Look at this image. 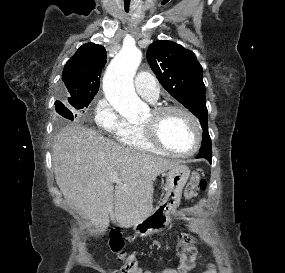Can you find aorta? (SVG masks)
<instances>
[{"label":"aorta","mask_w":285,"mask_h":273,"mask_svg":"<svg viewBox=\"0 0 285 273\" xmlns=\"http://www.w3.org/2000/svg\"><path fill=\"white\" fill-rule=\"evenodd\" d=\"M141 59L142 52L137 47H123L103 77V91L108 102L128 119L140 118L148 111L147 105L139 99L133 86V78Z\"/></svg>","instance_id":"aorta-1"}]
</instances>
